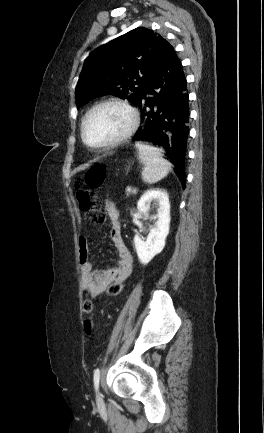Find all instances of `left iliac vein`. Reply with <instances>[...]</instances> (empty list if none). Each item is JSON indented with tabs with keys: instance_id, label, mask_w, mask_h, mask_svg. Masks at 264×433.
<instances>
[{
	"instance_id": "4c4485c4",
	"label": "left iliac vein",
	"mask_w": 264,
	"mask_h": 433,
	"mask_svg": "<svg viewBox=\"0 0 264 433\" xmlns=\"http://www.w3.org/2000/svg\"><path fill=\"white\" fill-rule=\"evenodd\" d=\"M96 397H97V401H98V402H101V401H102V395H101V393H100L99 391L97 392Z\"/></svg>"
}]
</instances>
